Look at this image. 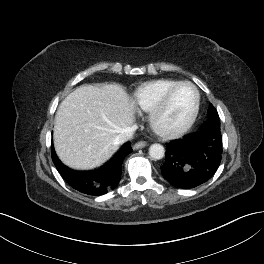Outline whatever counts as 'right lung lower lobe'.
I'll list each match as a JSON object with an SVG mask.
<instances>
[{
  "mask_svg": "<svg viewBox=\"0 0 264 264\" xmlns=\"http://www.w3.org/2000/svg\"><path fill=\"white\" fill-rule=\"evenodd\" d=\"M131 152V145L127 142L105 165L85 172L75 171L65 166L57 157L53 145L52 160L61 176L71 187L84 194L99 196L118 185L123 160Z\"/></svg>",
  "mask_w": 264,
  "mask_h": 264,
  "instance_id": "98d812e1",
  "label": "right lung lower lobe"
}]
</instances>
